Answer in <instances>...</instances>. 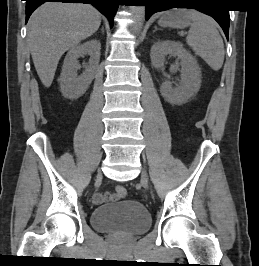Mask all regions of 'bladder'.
Segmentation results:
<instances>
[{
  "label": "bladder",
  "instance_id": "bladder-1",
  "mask_svg": "<svg viewBox=\"0 0 259 266\" xmlns=\"http://www.w3.org/2000/svg\"><path fill=\"white\" fill-rule=\"evenodd\" d=\"M91 223L101 232L137 235L150 228L151 216L142 203L124 200L95 208L91 214Z\"/></svg>",
  "mask_w": 259,
  "mask_h": 266
}]
</instances>
